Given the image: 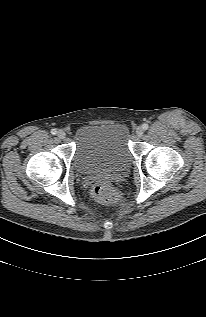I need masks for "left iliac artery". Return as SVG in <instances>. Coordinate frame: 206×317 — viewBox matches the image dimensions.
Here are the masks:
<instances>
[{
	"label": "left iliac artery",
	"instance_id": "obj_1",
	"mask_svg": "<svg viewBox=\"0 0 206 317\" xmlns=\"http://www.w3.org/2000/svg\"><path fill=\"white\" fill-rule=\"evenodd\" d=\"M148 124H146V123H144L143 125H142V128L144 129V130H147L148 129Z\"/></svg>",
	"mask_w": 206,
	"mask_h": 317
}]
</instances>
